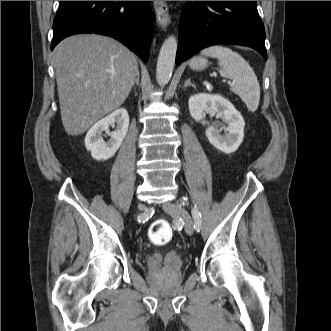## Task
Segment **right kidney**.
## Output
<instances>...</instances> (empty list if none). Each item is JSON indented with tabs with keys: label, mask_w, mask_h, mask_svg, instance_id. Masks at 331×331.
<instances>
[{
	"label": "right kidney",
	"mask_w": 331,
	"mask_h": 331,
	"mask_svg": "<svg viewBox=\"0 0 331 331\" xmlns=\"http://www.w3.org/2000/svg\"><path fill=\"white\" fill-rule=\"evenodd\" d=\"M109 133V127H115ZM129 127V116L124 108L117 109L105 118L95 123L87 132L85 146L96 160H107L115 155L122 144ZM109 133L110 139L104 141L102 133Z\"/></svg>",
	"instance_id": "ca27d5eb"
}]
</instances>
